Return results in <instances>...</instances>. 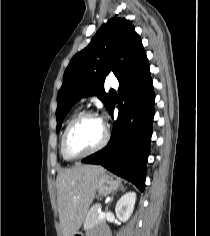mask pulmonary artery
<instances>
[{"mask_svg": "<svg viewBox=\"0 0 210 236\" xmlns=\"http://www.w3.org/2000/svg\"><path fill=\"white\" fill-rule=\"evenodd\" d=\"M108 83H109V85H110L111 87H113V88H117V87H118V80H117L115 77H113V76L109 78ZM86 100H87V98H86V97H83V98L80 100V102H81V103H84Z\"/></svg>", "mask_w": 210, "mask_h": 236, "instance_id": "e3ab8cb5", "label": "pulmonary artery"}]
</instances>
